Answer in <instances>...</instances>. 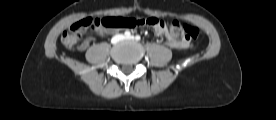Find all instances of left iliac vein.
Instances as JSON below:
<instances>
[{
    "mask_svg": "<svg viewBox=\"0 0 276 120\" xmlns=\"http://www.w3.org/2000/svg\"><path fill=\"white\" fill-rule=\"evenodd\" d=\"M127 39L133 40V39H134V36H130V37H128Z\"/></svg>",
    "mask_w": 276,
    "mask_h": 120,
    "instance_id": "1",
    "label": "left iliac vein"
}]
</instances>
